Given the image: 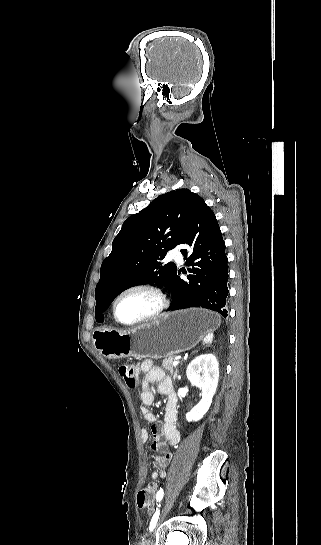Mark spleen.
<instances>
[{
	"mask_svg": "<svg viewBox=\"0 0 321 545\" xmlns=\"http://www.w3.org/2000/svg\"><path fill=\"white\" fill-rule=\"evenodd\" d=\"M214 339V333H207L205 339H203V345H210Z\"/></svg>",
	"mask_w": 321,
	"mask_h": 545,
	"instance_id": "spleen-1",
	"label": "spleen"
}]
</instances>
